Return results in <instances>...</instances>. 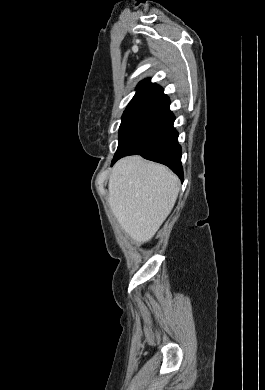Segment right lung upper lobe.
<instances>
[{
    "label": "right lung upper lobe",
    "instance_id": "right-lung-upper-lobe-1",
    "mask_svg": "<svg viewBox=\"0 0 265 390\" xmlns=\"http://www.w3.org/2000/svg\"><path fill=\"white\" fill-rule=\"evenodd\" d=\"M164 96V91L159 85L151 83L149 79H145L137 85V92L132 100L146 99L156 101Z\"/></svg>",
    "mask_w": 265,
    "mask_h": 390
}]
</instances>
